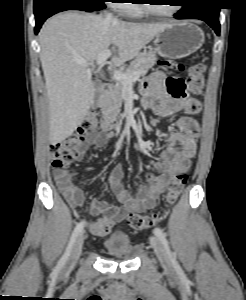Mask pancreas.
<instances>
[{
  "instance_id": "pancreas-1",
  "label": "pancreas",
  "mask_w": 246,
  "mask_h": 300,
  "mask_svg": "<svg viewBox=\"0 0 246 300\" xmlns=\"http://www.w3.org/2000/svg\"><path fill=\"white\" fill-rule=\"evenodd\" d=\"M157 61L155 51H146L140 53L126 69L125 73L139 72V77L146 75L148 70L154 66ZM125 86L117 81L102 96L100 107L103 115L115 119L121 111L123 102V90Z\"/></svg>"
}]
</instances>
